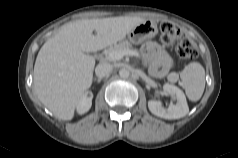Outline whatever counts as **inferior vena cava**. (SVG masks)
<instances>
[{"mask_svg": "<svg viewBox=\"0 0 238 158\" xmlns=\"http://www.w3.org/2000/svg\"><path fill=\"white\" fill-rule=\"evenodd\" d=\"M113 70V66L110 63L102 62L97 65L95 68V73L98 78H103L106 75L110 74Z\"/></svg>", "mask_w": 238, "mask_h": 158, "instance_id": "1", "label": "inferior vena cava"}]
</instances>
